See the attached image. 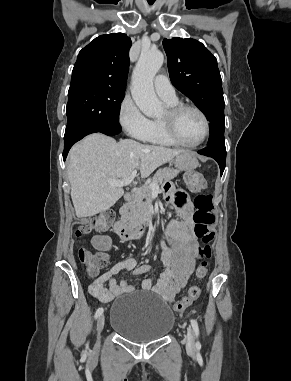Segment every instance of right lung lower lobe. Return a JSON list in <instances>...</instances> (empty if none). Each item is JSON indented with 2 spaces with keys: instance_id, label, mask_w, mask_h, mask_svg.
I'll return each mask as SVG.
<instances>
[{
  "instance_id": "98d812e1",
  "label": "right lung lower lobe",
  "mask_w": 291,
  "mask_h": 381,
  "mask_svg": "<svg viewBox=\"0 0 291 381\" xmlns=\"http://www.w3.org/2000/svg\"><path fill=\"white\" fill-rule=\"evenodd\" d=\"M121 130L122 129H121L120 125H110V126L99 127V128L93 129V130L83 134L78 140L82 139L83 137H85L88 134L96 133V132H100V133L106 134L108 136H113V135H116V134L120 133ZM78 140H74V141L64 140L63 160L66 159L67 154H68L70 148Z\"/></svg>"
}]
</instances>
